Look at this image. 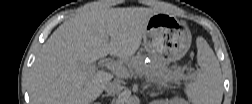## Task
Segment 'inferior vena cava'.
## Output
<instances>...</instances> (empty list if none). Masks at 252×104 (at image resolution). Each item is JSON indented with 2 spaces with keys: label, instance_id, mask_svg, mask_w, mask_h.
Listing matches in <instances>:
<instances>
[{
  "label": "inferior vena cava",
  "instance_id": "obj_1",
  "mask_svg": "<svg viewBox=\"0 0 252 104\" xmlns=\"http://www.w3.org/2000/svg\"><path fill=\"white\" fill-rule=\"evenodd\" d=\"M104 89L107 92V94H116L122 91L123 86L118 81H112L108 82Z\"/></svg>",
  "mask_w": 252,
  "mask_h": 104
}]
</instances>
